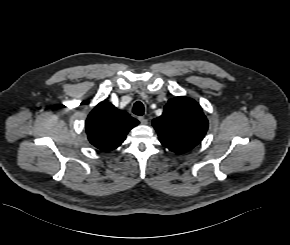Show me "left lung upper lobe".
<instances>
[{
	"label": "left lung upper lobe",
	"instance_id": "left-lung-upper-lobe-1",
	"mask_svg": "<svg viewBox=\"0 0 290 245\" xmlns=\"http://www.w3.org/2000/svg\"><path fill=\"white\" fill-rule=\"evenodd\" d=\"M153 126L162 145L181 154L200 143L208 121L195 100L180 96L168 101L163 114L153 120Z\"/></svg>",
	"mask_w": 290,
	"mask_h": 245
}]
</instances>
